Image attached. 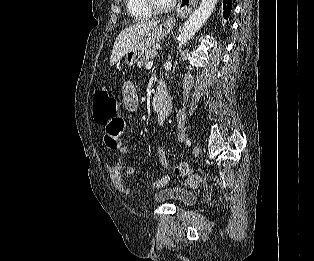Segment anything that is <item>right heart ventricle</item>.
<instances>
[{"instance_id":"right-heart-ventricle-1","label":"right heart ventricle","mask_w":314,"mask_h":261,"mask_svg":"<svg viewBox=\"0 0 314 261\" xmlns=\"http://www.w3.org/2000/svg\"><path fill=\"white\" fill-rule=\"evenodd\" d=\"M128 14L137 20L152 17L153 12L146 7L143 0H125Z\"/></svg>"}]
</instances>
